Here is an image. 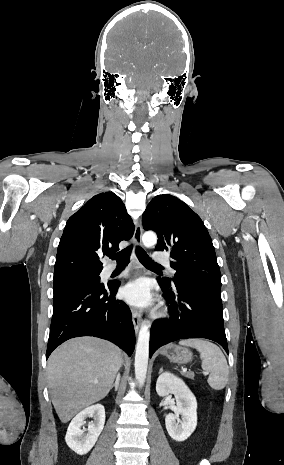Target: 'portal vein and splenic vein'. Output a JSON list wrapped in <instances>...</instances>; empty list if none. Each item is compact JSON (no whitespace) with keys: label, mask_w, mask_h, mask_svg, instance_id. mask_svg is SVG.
I'll return each mask as SVG.
<instances>
[{"label":"portal vein and splenic vein","mask_w":284,"mask_h":465,"mask_svg":"<svg viewBox=\"0 0 284 465\" xmlns=\"http://www.w3.org/2000/svg\"><path fill=\"white\" fill-rule=\"evenodd\" d=\"M183 371H184V369H183ZM203 375H208V373H203Z\"/></svg>","instance_id":"obj_1"}]
</instances>
